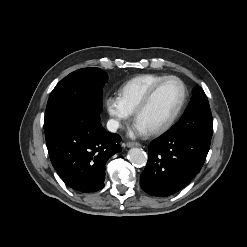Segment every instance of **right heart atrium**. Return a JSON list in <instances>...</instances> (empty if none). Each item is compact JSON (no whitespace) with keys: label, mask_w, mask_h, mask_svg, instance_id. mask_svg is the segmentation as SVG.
<instances>
[{"label":"right heart atrium","mask_w":247,"mask_h":247,"mask_svg":"<svg viewBox=\"0 0 247 247\" xmlns=\"http://www.w3.org/2000/svg\"><path fill=\"white\" fill-rule=\"evenodd\" d=\"M105 107L111 118V126L114 129L121 127L131 116V113L125 108L121 99L117 96L107 97Z\"/></svg>","instance_id":"right-heart-atrium-1"}]
</instances>
